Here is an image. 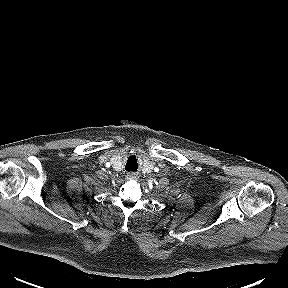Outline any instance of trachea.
<instances>
[{
  "mask_svg": "<svg viewBox=\"0 0 288 288\" xmlns=\"http://www.w3.org/2000/svg\"><path fill=\"white\" fill-rule=\"evenodd\" d=\"M138 164H137V159H136V157L135 156H130L129 158H128V161H127V163H126V170L127 171H136L137 170V166Z\"/></svg>",
  "mask_w": 288,
  "mask_h": 288,
  "instance_id": "1",
  "label": "trachea"
}]
</instances>
